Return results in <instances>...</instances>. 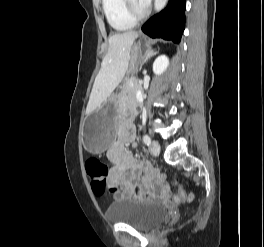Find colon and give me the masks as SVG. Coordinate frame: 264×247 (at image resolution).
<instances>
[{
	"instance_id": "obj_1",
	"label": "colon",
	"mask_w": 264,
	"mask_h": 247,
	"mask_svg": "<svg viewBox=\"0 0 264 247\" xmlns=\"http://www.w3.org/2000/svg\"><path fill=\"white\" fill-rule=\"evenodd\" d=\"M86 172L91 180V186L94 193L102 195L106 192H114L115 189L111 188L108 184L109 172L107 166L96 158H89L85 163ZM178 198H186L185 191L179 187ZM191 197L189 196L188 199Z\"/></svg>"
}]
</instances>
